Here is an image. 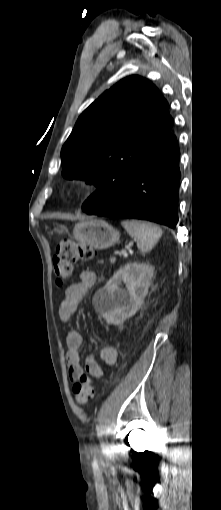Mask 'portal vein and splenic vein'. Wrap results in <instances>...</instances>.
Listing matches in <instances>:
<instances>
[{"mask_svg": "<svg viewBox=\"0 0 221 510\" xmlns=\"http://www.w3.org/2000/svg\"><path fill=\"white\" fill-rule=\"evenodd\" d=\"M125 253H126V251H122V252H121V254H125ZM110 261H111L112 263H114V262L116 261V258H115V257H112V258L110 259Z\"/></svg>", "mask_w": 221, "mask_h": 510, "instance_id": "1", "label": "portal vein and splenic vein"}]
</instances>
